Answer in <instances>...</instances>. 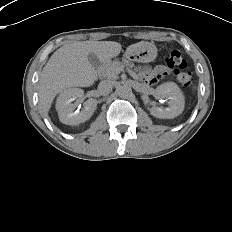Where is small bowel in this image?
<instances>
[{
  "label": "small bowel",
  "mask_w": 232,
  "mask_h": 232,
  "mask_svg": "<svg viewBox=\"0 0 232 232\" xmlns=\"http://www.w3.org/2000/svg\"><path fill=\"white\" fill-rule=\"evenodd\" d=\"M142 74L146 76V79L150 83H156L168 77L170 71L166 67L159 68L156 72L151 71L149 68H144Z\"/></svg>",
  "instance_id": "c3829d8e"
}]
</instances>
